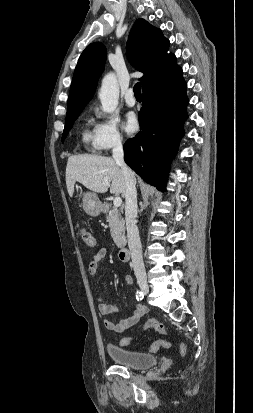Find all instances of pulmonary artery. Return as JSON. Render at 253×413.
I'll list each match as a JSON object with an SVG mask.
<instances>
[{
  "label": "pulmonary artery",
  "instance_id": "pulmonary-artery-1",
  "mask_svg": "<svg viewBox=\"0 0 253 413\" xmlns=\"http://www.w3.org/2000/svg\"><path fill=\"white\" fill-rule=\"evenodd\" d=\"M125 102L129 107H133L136 104V100L134 97L133 89H128L125 94Z\"/></svg>",
  "mask_w": 253,
  "mask_h": 413
}]
</instances>
